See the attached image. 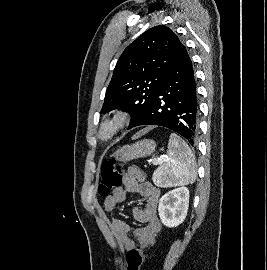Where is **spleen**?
<instances>
[{"label":"spleen","instance_id":"3e777b00","mask_svg":"<svg viewBox=\"0 0 267 270\" xmlns=\"http://www.w3.org/2000/svg\"><path fill=\"white\" fill-rule=\"evenodd\" d=\"M194 155L177 134L172 133L164 163L153 175V182L160 187H173L193 183L197 173Z\"/></svg>","mask_w":267,"mask_h":270}]
</instances>
